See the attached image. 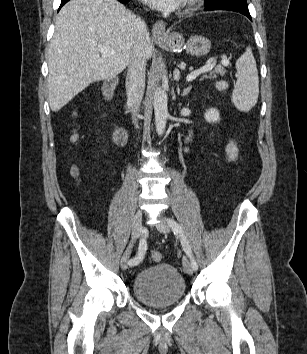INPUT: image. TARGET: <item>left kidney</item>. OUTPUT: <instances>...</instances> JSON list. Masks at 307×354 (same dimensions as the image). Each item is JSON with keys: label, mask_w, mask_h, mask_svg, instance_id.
I'll list each match as a JSON object with an SVG mask.
<instances>
[{"label": "left kidney", "mask_w": 307, "mask_h": 354, "mask_svg": "<svg viewBox=\"0 0 307 354\" xmlns=\"http://www.w3.org/2000/svg\"><path fill=\"white\" fill-rule=\"evenodd\" d=\"M205 120L209 123L218 122L220 120L218 110L211 108L205 112Z\"/></svg>", "instance_id": "obj_1"}]
</instances>
